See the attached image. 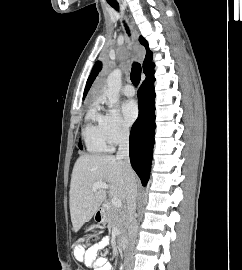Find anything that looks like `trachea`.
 Instances as JSON below:
<instances>
[{"instance_id":"trachea-1","label":"trachea","mask_w":242,"mask_h":270,"mask_svg":"<svg viewBox=\"0 0 242 270\" xmlns=\"http://www.w3.org/2000/svg\"><path fill=\"white\" fill-rule=\"evenodd\" d=\"M114 9L118 10V6H112ZM127 32L129 33V30L127 28ZM141 77V66L139 63H133L132 69H131V81L134 86H138L140 82Z\"/></svg>"}]
</instances>
